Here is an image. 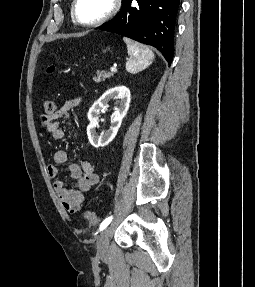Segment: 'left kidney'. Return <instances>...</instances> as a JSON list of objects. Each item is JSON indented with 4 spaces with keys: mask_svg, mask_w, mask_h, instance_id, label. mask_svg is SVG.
I'll return each mask as SVG.
<instances>
[{
    "mask_svg": "<svg viewBox=\"0 0 255 287\" xmlns=\"http://www.w3.org/2000/svg\"><path fill=\"white\" fill-rule=\"evenodd\" d=\"M109 100H117L118 106L114 114H112L110 130H106L101 136H97L96 128L99 126L98 114H100L103 108H107V102H109ZM129 104L130 90L129 88H126V86L110 88V90H107L97 102H94L88 112L90 124L87 126V136L91 145H94V147H104V145H108L109 142L114 140L121 126V122L128 112Z\"/></svg>",
    "mask_w": 255,
    "mask_h": 287,
    "instance_id": "1",
    "label": "left kidney"
}]
</instances>
